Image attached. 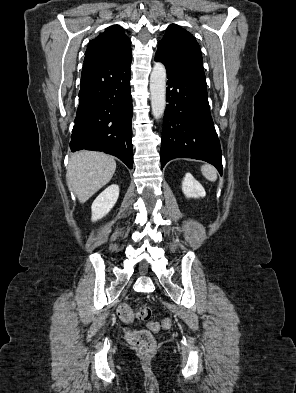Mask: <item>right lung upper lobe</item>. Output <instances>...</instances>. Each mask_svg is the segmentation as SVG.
<instances>
[{"instance_id": "1", "label": "right lung upper lobe", "mask_w": 296, "mask_h": 393, "mask_svg": "<svg viewBox=\"0 0 296 393\" xmlns=\"http://www.w3.org/2000/svg\"><path fill=\"white\" fill-rule=\"evenodd\" d=\"M131 41L118 25L110 26L89 42L85 60H112L131 56Z\"/></svg>"}]
</instances>
